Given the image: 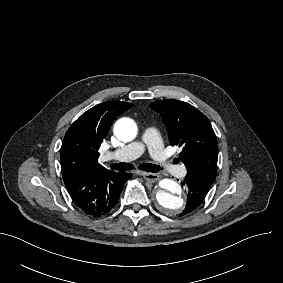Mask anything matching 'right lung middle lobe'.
Masks as SVG:
<instances>
[{
    "label": "right lung middle lobe",
    "mask_w": 283,
    "mask_h": 283,
    "mask_svg": "<svg viewBox=\"0 0 283 283\" xmlns=\"http://www.w3.org/2000/svg\"><path fill=\"white\" fill-rule=\"evenodd\" d=\"M71 168H72V166H71V165H68V166L66 167V171H69Z\"/></svg>",
    "instance_id": "obj_1"
}]
</instances>
